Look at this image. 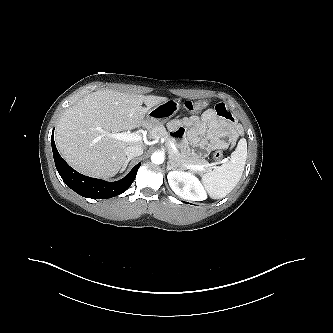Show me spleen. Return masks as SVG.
Masks as SVG:
<instances>
[{"label":"spleen","mask_w":333,"mask_h":333,"mask_svg":"<svg viewBox=\"0 0 333 333\" xmlns=\"http://www.w3.org/2000/svg\"><path fill=\"white\" fill-rule=\"evenodd\" d=\"M246 158L247 142L242 138L227 163L202 175V181L211 198H223L235 188L243 174Z\"/></svg>","instance_id":"3e777b00"}]
</instances>
